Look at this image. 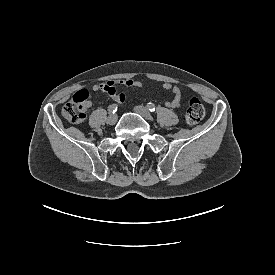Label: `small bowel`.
I'll list each match as a JSON object with an SVG mask.
<instances>
[{"mask_svg": "<svg viewBox=\"0 0 275 275\" xmlns=\"http://www.w3.org/2000/svg\"><path fill=\"white\" fill-rule=\"evenodd\" d=\"M117 85H123L127 87H143V83L140 80L125 78L120 80H110L104 83H98L92 86V90L95 92L102 91L107 93L114 101L122 103L125 101L126 96L117 90ZM162 89L172 95V99L165 101V106L168 108H179L182 104V93L179 87L170 83H164ZM90 101L88 106L90 105Z\"/></svg>", "mask_w": 275, "mask_h": 275, "instance_id": "small-bowel-1", "label": "small bowel"}]
</instances>
